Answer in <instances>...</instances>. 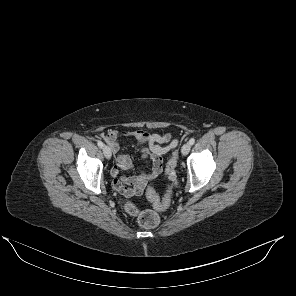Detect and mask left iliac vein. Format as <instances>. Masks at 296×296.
<instances>
[{
	"mask_svg": "<svg viewBox=\"0 0 296 296\" xmlns=\"http://www.w3.org/2000/svg\"><path fill=\"white\" fill-rule=\"evenodd\" d=\"M190 148H191V145L190 143H185L183 146H182V154L183 155H187L190 151Z\"/></svg>",
	"mask_w": 296,
	"mask_h": 296,
	"instance_id": "left-iliac-vein-1",
	"label": "left iliac vein"
}]
</instances>
